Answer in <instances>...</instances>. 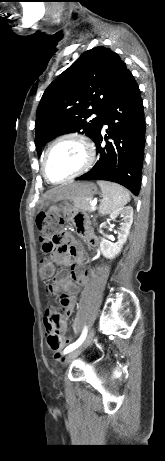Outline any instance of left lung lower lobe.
<instances>
[{"mask_svg": "<svg viewBox=\"0 0 165 461\" xmlns=\"http://www.w3.org/2000/svg\"><path fill=\"white\" fill-rule=\"evenodd\" d=\"M108 125L101 147L103 125ZM112 139V141H108ZM99 161L77 180H108L139 194L145 147V118L140 90L127 69L106 108L99 132L93 139Z\"/></svg>", "mask_w": 165, "mask_h": 461, "instance_id": "1", "label": "left lung lower lobe"}]
</instances>
